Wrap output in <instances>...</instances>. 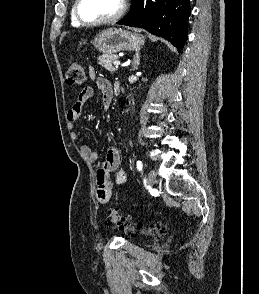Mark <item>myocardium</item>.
<instances>
[{"label":"myocardium","mask_w":259,"mask_h":294,"mask_svg":"<svg viewBox=\"0 0 259 294\" xmlns=\"http://www.w3.org/2000/svg\"><path fill=\"white\" fill-rule=\"evenodd\" d=\"M82 0H76L73 8L74 16L78 23H80L82 26H87V27H94V26H101L105 24H110L113 22L118 21L122 16L125 14L127 10V0H121L120 1V8L119 10L112 16L101 19V20H96V21H89L83 18L80 12V5H81Z\"/></svg>","instance_id":"obj_1"}]
</instances>
